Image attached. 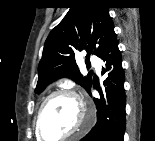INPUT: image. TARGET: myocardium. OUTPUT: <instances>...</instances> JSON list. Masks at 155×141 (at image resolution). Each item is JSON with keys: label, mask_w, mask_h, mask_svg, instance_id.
<instances>
[{"label": "myocardium", "mask_w": 155, "mask_h": 141, "mask_svg": "<svg viewBox=\"0 0 155 141\" xmlns=\"http://www.w3.org/2000/svg\"><path fill=\"white\" fill-rule=\"evenodd\" d=\"M58 95H65V96L72 98L77 103V105H79V107L81 109V113H82V119H81L80 124L73 131L62 136L61 138H58V140H60V141L67 140V139L77 135L78 133L85 131L91 125V123L93 121L92 110L87 105L86 101L78 93H76L75 91L68 89V88L56 89V90L50 92L48 95H46L43 98V100L41 101V104L39 106V109L37 111V116H36V121H35V129H36V134H37L38 138H41L42 140H49L44 137L42 129H41V116H42L43 109H44L45 105L47 104V102L51 98L58 96ZM87 115H88V118H87Z\"/></svg>", "instance_id": "obj_1"}]
</instances>
